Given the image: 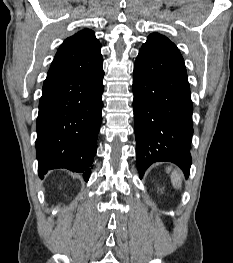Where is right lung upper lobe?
Instances as JSON below:
<instances>
[{"mask_svg":"<svg viewBox=\"0 0 233 263\" xmlns=\"http://www.w3.org/2000/svg\"><path fill=\"white\" fill-rule=\"evenodd\" d=\"M100 48L99 40L92 30L79 31L60 45L47 77L91 72L102 59Z\"/></svg>","mask_w":233,"mask_h":263,"instance_id":"right-lung-upper-lobe-1","label":"right lung upper lobe"}]
</instances>
